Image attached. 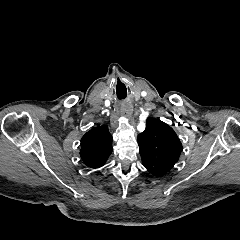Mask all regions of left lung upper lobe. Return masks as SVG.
<instances>
[{"label":"left lung upper lobe","instance_id":"left-lung-upper-lobe-1","mask_svg":"<svg viewBox=\"0 0 240 240\" xmlns=\"http://www.w3.org/2000/svg\"><path fill=\"white\" fill-rule=\"evenodd\" d=\"M137 139L143 165L155 176L169 172L182 151V144L174 130L159 119H147L146 129Z\"/></svg>","mask_w":240,"mask_h":240}]
</instances>
